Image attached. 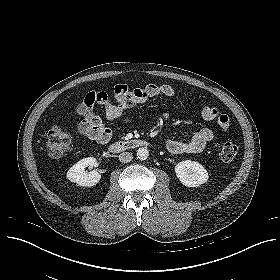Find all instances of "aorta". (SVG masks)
I'll return each mask as SVG.
<instances>
[{"label":"aorta","instance_id":"1","mask_svg":"<svg viewBox=\"0 0 280 280\" xmlns=\"http://www.w3.org/2000/svg\"><path fill=\"white\" fill-rule=\"evenodd\" d=\"M149 156V151L146 147H141L137 150V158L140 160H146Z\"/></svg>","mask_w":280,"mask_h":280}]
</instances>
